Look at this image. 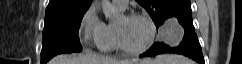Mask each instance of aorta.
<instances>
[{
  "label": "aorta",
  "instance_id": "762f6f07",
  "mask_svg": "<svg viewBox=\"0 0 242 64\" xmlns=\"http://www.w3.org/2000/svg\"><path fill=\"white\" fill-rule=\"evenodd\" d=\"M101 8L106 19L114 20L119 16L118 10L110 0H101Z\"/></svg>",
  "mask_w": 242,
  "mask_h": 64
}]
</instances>
